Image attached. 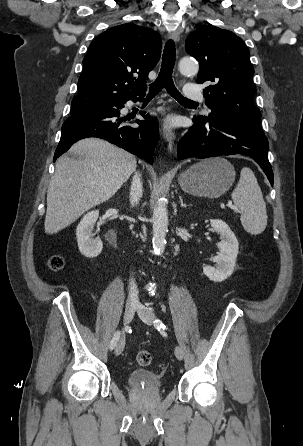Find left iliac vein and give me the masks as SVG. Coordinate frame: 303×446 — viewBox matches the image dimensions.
Returning <instances> with one entry per match:
<instances>
[{
    "label": "left iliac vein",
    "instance_id": "left-iliac-vein-1",
    "mask_svg": "<svg viewBox=\"0 0 303 446\" xmlns=\"http://www.w3.org/2000/svg\"><path fill=\"white\" fill-rule=\"evenodd\" d=\"M139 317L147 324H152L154 319V313L147 307L139 305L137 308ZM175 356L178 360H182L184 357L183 349L180 346L175 347Z\"/></svg>",
    "mask_w": 303,
    "mask_h": 446
}]
</instances>
